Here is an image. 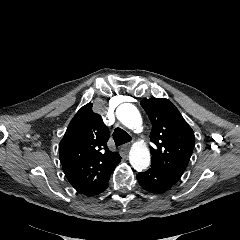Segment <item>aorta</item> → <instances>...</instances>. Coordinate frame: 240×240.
I'll list each match as a JSON object with an SVG mask.
<instances>
[{
	"instance_id": "762f6f07",
	"label": "aorta",
	"mask_w": 240,
	"mask_h": 240,
	"mask_svg": "<svg viewBox=\"0 0 240 240\" xmlns=\"http://www.w3.org/2000/svg\"><path fill=\"white\" fill-rule=\"evenodd\" d=\"M118 120L131 130H138L142 126V117L138 109L129 103L121 104L116 111ZM130 164L137 171L146 169L150 165V152L141 143H135L129 153Z\"/></svg>"
}]
</instances>
